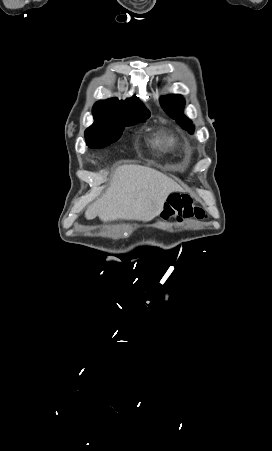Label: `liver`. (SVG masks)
Instances as JSON below:
<instances>
[{"instance_id": "liver-1", "label": "liver", "mask_w": 272, "mask_h": 451, "mask_svg": "<svg viewBox=\"0 0 272 451\" xmlns=\"http://www.w3.org/2000/svg\"><path fill=\"white\" fill-rule=\"evenodd\" d=\"M171 192L183 190L177 182L161 172L146 166H119L105 194L88 206L85 218L93 220L99 216L102 222H149L163 212L167 196Z\"/></svg>"}]
</instances>
